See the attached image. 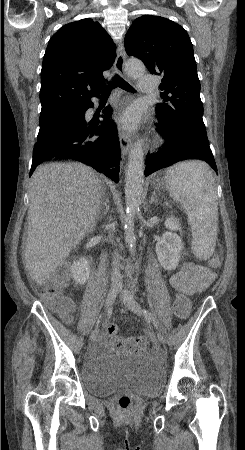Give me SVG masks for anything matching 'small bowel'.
I'll return each mask as SVG.
<instances>
[{
  "label": "small bowel",
  "mask_w": 245,
  "mask_h": 450,
  "mask_svg": "<svg viewBox=\"0 0 245 450\" xmlns=\"http://www.w3.org/2000/svg\"><path fill=\"white\" fill-rule=\"evenodd\" d=\"M215 277V273L209 268L196 263H188L171 276L170 283L177 291L192 295L207 289ZM108 343L107 335H102L99 343L100 348L106 347Z\"/></svg>",
  "instance_id": "obj_1"
}]
</instances>
